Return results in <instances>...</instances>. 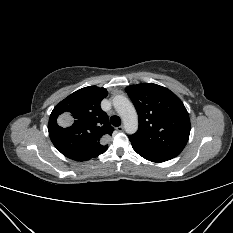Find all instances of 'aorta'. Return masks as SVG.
I'll list each match as a JSON object with an SVG mask.
<instances>
[{"label": "aorta", "mask_w": 233, "mask_h": 233, "mask_svg": "<svg viewBox=\"0 0 233 233\" xmlns=\"http://www.w3.org/2000/svg\"><path fill=\"white\" fill-rule=\"evenodd\" d=\"M113 106L122 118L126 133H135L138 129V116L129 99L123 95H116L113 98Z\"/></svg>", "instance_id": "aorta-1"}]
</instances>
